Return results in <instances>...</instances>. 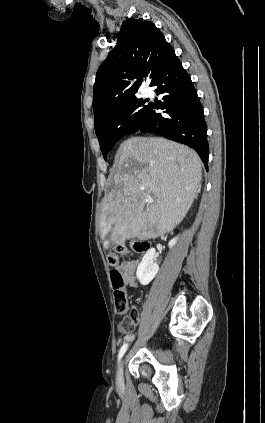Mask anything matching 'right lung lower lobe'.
I'll return each instance as SVG.
<instances>
[{
  "mask_svg": "<svg viewBox=\"0 0 265 423\" xmlns=\"http://www.w3.org/2000/svg\"><path fill=\"white\" fill-rule=\"evenodd\" d=\"M151 86H157V94H163V104H150L143 118L127 133L154 132L167 139L193 148L208 169L209 147L203 108L193 83L175 57L157 76ZM166 109L168 115L157 113Z\"/></svg>",
  "mask_w": 265,
  "mask_h": 423,
  "instance_id": "right-lung-lower-lobe-1",
  "label": "right lung lower lobe"
}]
</instances>
